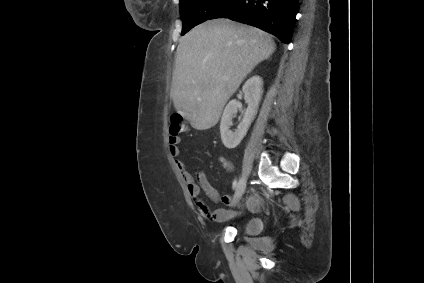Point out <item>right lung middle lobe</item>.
I'll use <instances>...</instances> for the list:
<instances>
[{"label":"right lung middle lobe","instance_id":"obj_1","mask_svg":"<svg viewBox=\"0 0 424 283\" xmlns=\"http://www.w3.org/2000/svg\"><path fill=\"white\" fill-rule=\"evenodd\" d=\"M229 0H180V14L183 22L181 35L194 26L208 20Z\"/></svg>","mask_w":424,"mask_h":283}]
</instances>
